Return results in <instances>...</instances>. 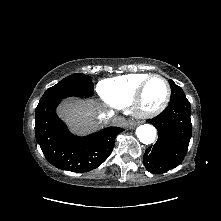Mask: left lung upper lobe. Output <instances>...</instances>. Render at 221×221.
Instances as JSON below:
<instances>
[{
    "label": "left lung upper lobe",
    "instance_id": "1",
    "mask_svg": "<svg viewBox=\"0 0 221 221\" xmlns=\"http://www.w3.org/2000/svg\"><path fill=\"white\" fill-rule=\"evenodd\" d=\"M170 86H171V98L170 101H175L178 99H185L186 95L184 93V91L181 89V87H179L178 85H176L171 79L169 80Z\"/></svg>",
    "mask_w": 221,
    "mask_h": 221
}]
</instances>
